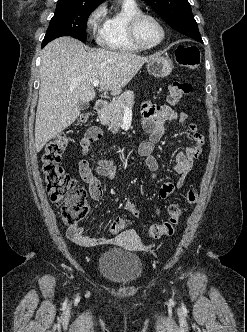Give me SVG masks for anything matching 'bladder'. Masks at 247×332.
Here are the masks:
<instances>
[{
  "label": "bladder",
  "instance_id": "obj_1",
  "mask_svg": "<svg viewBox=\"0 0 247 332\" xmlns=\"http://www.w3.org/2000/svg\"><path fill=\"white\" fill-rule=\"evenodd\" d=\"M98 271L107 281L122 286L136 283L142 275L141 258L120 248H112L102 253L98 260Z\"/></svg>",
  "mask_w": 247,
  "mask_h": 332
}]
</instances>
